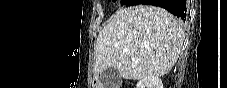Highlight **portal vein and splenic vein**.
<instances>
[{"instance_id": "18ae733b", "label": "portal vein and splenic vein", "mask_w": 227, "mask_h": 88, "mask_svg": "<svg viewBox=\"0 0 227 88\" xmlns=\"http://www.w3.org/2000/svg\"><path fill=\"white\" fill-rule=\"evenodd\" d=\"M123 52L125 53V54H128L129 53V50L128 49H123ZM133 61H136L134 58L132 59Z\"/></svg>"}]
</instances>
